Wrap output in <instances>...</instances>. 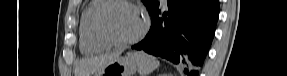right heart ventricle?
Segmentation results:
<instances>
[{
	"label": "right heart ventricle",
	"instance_id": "obj_1",
	"mask_svg": "<svg viewBox=\"0 0 287 76\" xmlns=\"http://www.w3.org/2000/svg\"><path fill=\"white\" fill-rule=\"evenodd\" d=\"M105 0H92L82 11L80 18V50L86 54L98 53L107 47L100 43L92 29L93 17Z\"/></svg>",
	"mask_w": 287,
	"mask_h": 76
}]
</instances>
